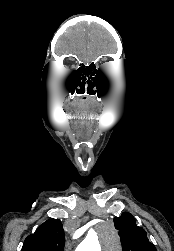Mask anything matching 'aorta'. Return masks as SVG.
Returning a JSON list of instances; mask_svg holds the SVG:
<instances>
[{
	"label": "aorta",
	"instance_id": "1",
	"mask_svg": "<svg viewBox=\"0 0 174 251\" xmlns=\"http://www.w3.org/2000/svg\"><path fill=\"white\" fill-rule=\"evenodd\" d=\"M107 251H117L119 246V237L114 227L106 226L104 229ZM75 251H101V246L96 240L85 239L81 242Z\"/></svg>",
	"mask_w": 174,
	"mask_h": 251
}]
</instances>
